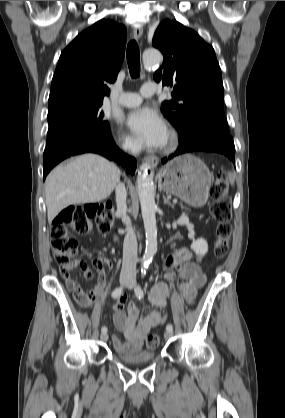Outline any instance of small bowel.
I'll return each instance as SVG.
<instances>
[{
  "mask_svg": "<svg viewBox=\"0 0 285 418\" xmlns=\"http://www.w3.org/2000/svg\"><path fill=\"white\" fill-rule=\"evenodd\" d=\"M194 258L195 256L192 252L181 248L168 255L165 259L166 280H172L177 276L182 281L180 286L181 294L187 300L194 299L198 290L204 286L206 281L205 274L201 271ZM102 260L110 266L106 258H102ZM82 265L83 262L78 258H75L72 262L73 267ZM64 280L67 286L72 288L73 280L70 278L69 273L64 276ZM88 294L89 301L87 303L77 300L83 308L89 307L92 298L102 295L100 283L90 288ZM168 295L169 288L165 281L153 283L149 289L148 297L155 309L143 315L139 320H137L139 315L138 307L134 303H130L127 312H124L122 308L124 299L122 296L118 297V300L113 305L114 322L117 329L124 333L128 344L123 343L119 337L112 336L114 348L121 352L140 350L141 344L149 332L163 323L166 316V298Z\"/></svg>",
  "mask_w": 285,
  "mask_h": 418,
  "instance_id": "c3829d8e",
  "label": "small bowel"
}]
</instances>
